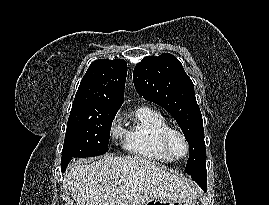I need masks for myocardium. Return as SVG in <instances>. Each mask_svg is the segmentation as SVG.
Instances as JSON below:
<instances>
[{
    "mask_svg": "<svg viewBox=\"0 0 269 205\" xmlns=\"http://www.w3.org/2000/svg\"><path fill=\"white\" fill-rule=\"evenodd\" d=\"M174 135H179L186 146V152L183 156H177L171 147V139ZM160 146L162 150L173 160H182L186 158L190 153V142L187 137V135L178 128L169 127L166 130H164L160 136Z\"/></svg>",
    "mask_w": 269,
    "mask_h": 205,
    "instance_id": "myocardium-1",
    "label": "myocardium"
}]
</instances>
